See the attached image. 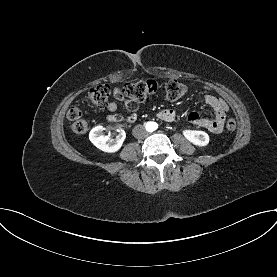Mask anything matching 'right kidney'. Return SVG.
Returning <instances> with one entry per match:
<instances>
[{"mask_svg":"<svg viewBox=\"0 0 277 277\" xmlns=\"http://www.w3.org/2000/svg\"><path fill=\"white\" fill-rule=\"evenodd\" d=\"M103 130V126L94 127L89 133L90 141L104 152L113 153L118 151L125 140V131L120 126H117L115 130L118 132V135L115 139H111L103 134Z\"/></svg>","mask_w":277,"mask_h":277,"instance_id":"1","label":"right kidney"}]
</instances>
